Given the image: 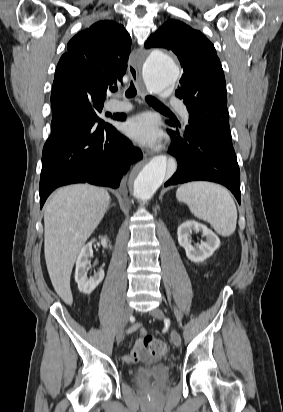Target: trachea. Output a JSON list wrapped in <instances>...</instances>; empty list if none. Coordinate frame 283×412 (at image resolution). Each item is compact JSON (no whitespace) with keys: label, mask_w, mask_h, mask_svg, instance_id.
Listing matches in <instances>:
<instances>
[{"label":"trachea","mask_w":283,"mask_h":412,"mask_svg":"<svg viewBox=\"0 0 283 412\" xmlns=\"http://www.w3.org/2000/svg\"><path fill=\"white\" fill-rule=\"evenodd\" d=\"M112 91H117L116 88H114ZM137 91L136 88L133 84V82L130 83V87L128 88V90L126 91L125 95L127 98H132L136 95ZM146 101L149 104L155 105L159 108L165 109V110H169L166 106H164L160 101H158L155 97L153 96H147L146 97Z\"/></svg>","instance_id":"obj_1"}]
</instances>
